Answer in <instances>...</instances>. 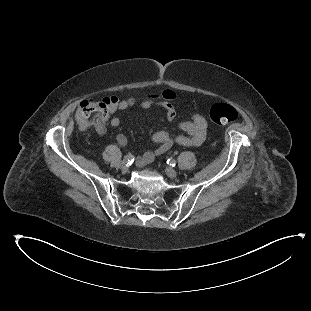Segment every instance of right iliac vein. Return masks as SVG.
<instances>
[{
	"instance_id": "63e3f726",
	"label": "right iliac vein",
	"mask_w": 311,
	"mask_h": 311,
	"mask_svg": "<svg viewBox=\"0 0 311 311\" xmlns=\"http://www.w3.org/2000/svg\"><path fill=\"white\" fill-rule=\"evenodd\" d=\"M121 169H122L123 172H127L129 170V165H128V163L126 161H123L121 163Z\"/></svg>"
}]
</instances>
